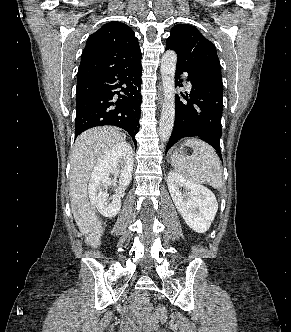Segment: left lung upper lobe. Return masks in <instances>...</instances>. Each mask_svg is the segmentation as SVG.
Wrapping results in <instances>:
<instances>
[{"instance_id": "left-lung-upper-lobe-1", "label": "left lung upper lobe", "mask_w": 291, "mask_h": 332, "mask_svg": "<svg viewBox=\"0 0 291 332\" xmlns=\"http://www.w3.org/2000/svg\"><path fill=\"white\" fill-rule=\"evenodd\" d=\"M177 53V64L191 73L215 72L221 75L217 51L212 42L189 24H177L166 40V50Z\"/></svg>"}]
</instances>
